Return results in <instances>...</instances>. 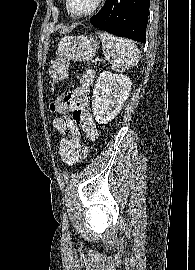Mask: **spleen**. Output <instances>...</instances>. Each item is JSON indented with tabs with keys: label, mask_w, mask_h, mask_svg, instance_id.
Returning <instances> with one entry per match:
<instances>
[{
	"label": "spleen",
	"mask_w": 195,
	"mask_h": 270,
	"mask_svg": "<svg viewBox=\"0 0 195 270\" xmlns=\"http://www.w3.org/2000/svg\"><path fill=\"white\" fill-rule=\"evenodd\" d=\"M98 35L106 59L111 58L112 70L122 72L139 63L140 51L131 40L116 37L107 32H99Z\"/></svg>",
	"instance_id": "obj_1"
}]
</instances>
